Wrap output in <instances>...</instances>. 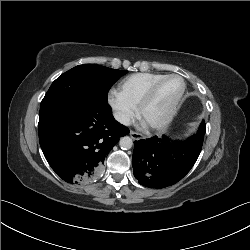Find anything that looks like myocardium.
Wrapping results in <instances>:
<instances>
[{
	"instance_id": "1",
	"label": "myocardium",
	"mask_w": 250,
	"mask_h": 250,
	"mask_svg": "<svg viewBox=\"0 0 250 250\" xmlns=\"http://www.w3.org/2000/svg\"><path fill=\"white\" fill-rule=\"evenodd\" d=\"M172 78H177L179 80H181L182 82V88L180 93L178 94V96L176 97V99L174 100V102L172 103L171 107L169 108L168 112L165 114V116L160 119L157 122H152V123H147L144 121V112L147 108V106L151 103V101L153 100V98L155 97V94L157 92V90L159 89V87L167 80L172 79ZM186 91V82L184 80L183 77H181L180 75L177 74H169V75H165L162 78L158 79L157 81H155L147 90V92L145 93V95L142 97V99L140 100L139 104H138V116L139 118L144 122L145 126L150 129V130H162L165 127H167L171 121L173 120L177 109L179 107V104L184 96V93Z\"/></svg>"
}]
</instances>
